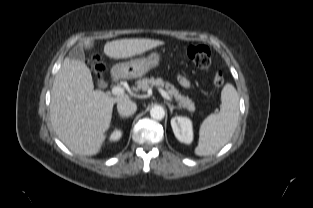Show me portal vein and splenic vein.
Segmentation results:
<instances>
[{"label":"portal vein and splenic vein","instance_id":"1","mask_svg":"<svg viewBox=\"0 0 313 208\" xmlns=\"http://www.w3.org/2000/svg\"><path fill=\"white\" fill-rule=\"evenodd\" d=\"M159 92L161 93V95L169 100V101H172V98L171 96L163 89L159 88ZM111 93L113 95H117V96H120V95H123L124 94V89L121 87V86H114L112 89H111Z\"/></svg>","mask_w":313,"mask_h":208}]
</instances>
